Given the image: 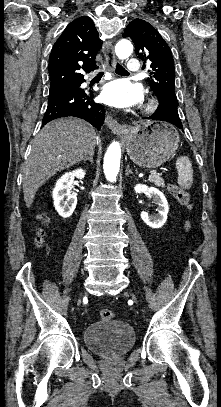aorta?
<instances>
[{
    "mask_svg": "<svg viewBox=\"0 0 221 407\" xmlns=\"http://www.w3.org/2000/svg\"><path fill=\"white\" fill-rule=\"evenodd\" d=\"M133 52V46L129 40L122 39L115 46V53L119 59L128 58ZM121 147L119 142H112L104 156V174L109 182L116 181L119 172Z\"/></svg>",
    "mask_w": 221,
    "mask_h": 407,
    "instance_id": "obj_1",
    "label": "aorta"
}]
</instances>
